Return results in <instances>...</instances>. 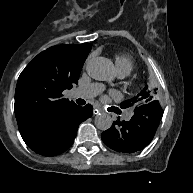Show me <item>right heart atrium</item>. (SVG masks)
<instances>
[{
    "mask_svg": "<svg viewBox=\"0 0 193 193\" xmlns=\"http://www.w3.org/2000/svg\"><path fill=\"white\" fill-rule=\"evenodd\" d=\"M87 63H88V60L86 61L85 66L87 65Z\"/></svg>",
    "mask_w": 193,
    "mask_h": 193,
    "instance_id": "right-heart-atrium-1",
    "label": "right heart atrium"
}]
</instances>
